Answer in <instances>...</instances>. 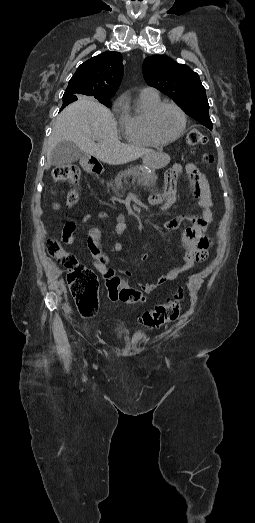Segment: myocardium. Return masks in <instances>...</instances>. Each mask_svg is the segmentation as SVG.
<instances>
[{
	"mask_svg": "<svg viewBox=\"0 0 255 523\" xmlns=\"http://www.w3.org/2000/svg\"><path fill=\"white\" fill-rule=\"evenodd\" d=\"M167 106H170V107H173L175 108L178 113L180 114L181 116V119H182V125H181V128L179 130V132L172 138H168V139H164V138H161L157 133H156V130H155V126H154V120H155V117L157 116L158 112L163 108V107H167ZM186 125H187V117H186V114L185 112L183 111V109L178 106L177 104L173 103V102H160L159 104H157L149 113L148 115V119H147V127H148V130H149V133L150 135L159 143H162V144H168V143H172L174 141H176L177 139H179L185 129H186Z\"/></svg>",
	"mask_w": 255,
	"mask_h": 523,
	"instance_id": "1",
	"label": "myocardium"
}]
</instances>
